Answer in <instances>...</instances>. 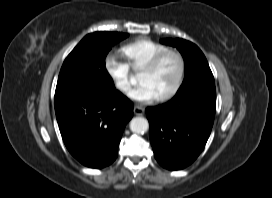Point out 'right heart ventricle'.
I'll return each instance as SVG.
<instances>
[{"instance_id": "right-heart-ventricle-1", "label": "right heart ventricle", "mask_w": 272, "mask_h": 198, "mask_svg": "<svg viewBox=\"0 0 272 198\" xmlns=\"http://www.w3.org/2000/svg\"><path fill=\"white\" fill-rule=\"evenodd\" d=\"M169 49L168 46L149 38H138L125 44L122 53L130 68L135 71L141 70L156 54Z\"/></svg>"}]
</instances>
